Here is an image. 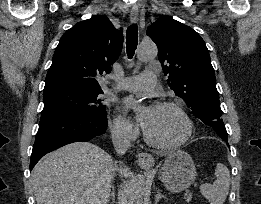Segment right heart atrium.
<instances>
[{
  "label": "right heart atrium",
  "instance_id": "obj_1",
  "mask_svg": "<svg viewBox=\"0 0 261 204\" xmlns=\"http://www.w3.org/2000/svg\"><path fill=\"white\" fill-rule=\"evenodd\" d=\"M111 132L117 139L132 141L138 136L139 130L126 117L121 114H117L111 124Z\"/></svg>",
  "mask_w": 261,
  "mask_h": 204
}]
</instances>
